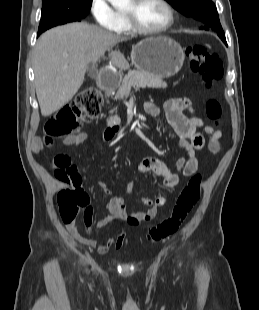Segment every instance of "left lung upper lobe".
Here are the masks:
<instances>
[{"instance_id":"5c2ea615","label":"left lung upper lobe","mask_w":259,"mask_h":310,"mask_svg":"<svg viewBox=\"0 0 259 310\" xmlns=\"http://www.w3.org/2000/svg\"><path fill=\"white\" fill-rule=\"evenodd\" d=\"M185 16L204 22L207 27L225 36L220 24L217 9L211 0H166Z\"/></svg>"}]
</instances>
